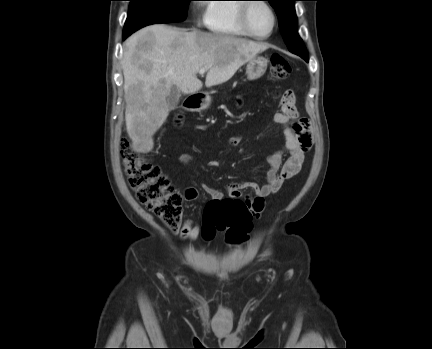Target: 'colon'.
Listing matches in <instances>:
<instances>
[{"label": "colon", "instance_id": "1", "mask_svg": "<svg viewBox=\"0 0 432 349\" xmlns=\"http://www.w3.org/2000/svg\"><path fill=\"white\" fill-rule=\"evenodd\" d=\"M291 67L280 54L271 57L270 76L274 80L289 77ZM121 159L127 181L137 200L153 212L173 232L182 219V198L171 185L170 179L152 161L138 155L129 139L121 142ZM253 215L241 199L224 198L211 201L205 210L203 235L209 239L215 231L225 232L231 243L246 240L252 228Z\"/></svg>", "mask_w": 432, "mask_h": 349}]
</instances>
